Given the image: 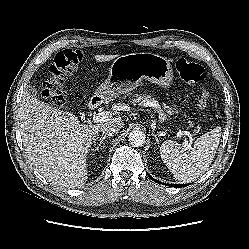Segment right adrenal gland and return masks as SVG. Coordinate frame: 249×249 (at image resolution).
Returning <instances> with one entry per match:
<instances>
[{
    "instance_id": "1",
    "label": "right adrenal gland",
    "mask_w": 249,
    "mask_h": 249,
    "mask_svg": "<svg viewBox=\"0 0 249 249\" xmlns=\"http://www.w3.org/2000/svg\"><path fill=\"white\" fill-rule=\"evenodd\" d=\"M110 137L111 135H104V136L102 135L101 137H97V140L99 139V143H96V142L94 143V145L96 146L94 151H97L101 147V145L104 143V140Z\"/></svg>"
}]
</instances>
